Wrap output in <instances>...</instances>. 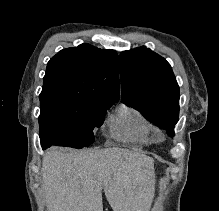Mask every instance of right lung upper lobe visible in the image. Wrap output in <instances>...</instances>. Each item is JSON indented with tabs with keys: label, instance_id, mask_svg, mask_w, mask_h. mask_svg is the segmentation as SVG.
Returning a JSON list of instances; mask_svg holds the SVG:
<instances>
[{
	"label": "right lung upper lobe",
	"instance_id": "obj_1",
	"mask_svg": "<svg viewBox=\"0 0 219 211\" xmlns=\"http://www.w3.org/2000/svg\"><path fill=\"white\" fill-rule=\"evenodd\" d=\"M119 59L90 44L59 51L47 64L40 96L60 95L95 103L119 99Z\"/></svg>",
	"mask_w": 219,
	"mask_h": 211
}]
</instances>
